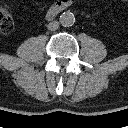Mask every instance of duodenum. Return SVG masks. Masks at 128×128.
<instances>
[{
	"label": "duodenum",
	"mask_w": 128,
	"mask_h": 128,
	"mask_svg": "<svg viewBox=\"0 0 128 128\" xmlns=\"http://www.w3.org/2000/svg\"><path fill=\"white\" fill-rule=\"evenodd\" d=\"M73 3V0H58L55 2L47 11L46 17L48 19H53L60 12L70 7Z\"/></svg>",
	"instance_id": "1"
}]
</instances>
